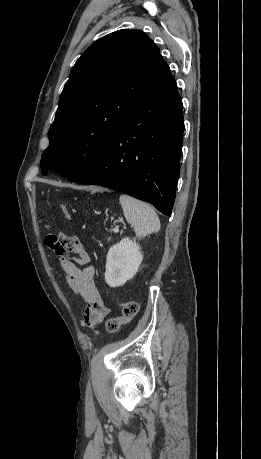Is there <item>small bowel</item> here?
I'll return each mask as SVG.
<instances>
[{
  "label": "small bowel",
  "instance_id": "1",
  "mask_svg": "<svg viewBox=\"0 0 261 459\" xmlns=\"http://www.w3.org/2000/svg\"><path fill=\"white\" fill-rule=\"evenodd\" d=\"M45 242L60 258L61 267L71 289L81 295L86 303L83 325L96 327L108 315L109 308L104 304L96 286L95 268L89 264V254L74 236L50 234Z\"/></svg>",
  "mask_w": 261,
  "mask_h": 459
}]
</instances>
